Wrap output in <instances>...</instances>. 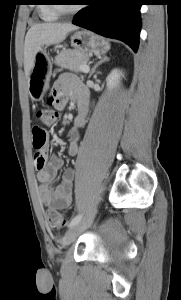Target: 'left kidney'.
Segmentation results:
<instances>
[{"label":"left kidney","instance_id":"left-kidney-1","mask_svg":"<svg viewBox=\"0 0 181 300\" xmlns=\"http://www.w3.org/2000/svg\"><path fill=\"white\" fill-rule=\"evenodd\" d=\"M121 77H124V74L119 69H113L111 73L106 78L107 87L109 90L116 88L121 80Z\"/></svg>","mask_w":181,"mask_h":300}]
</instances>
